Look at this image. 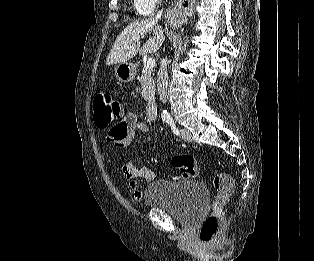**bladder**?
Masks as SVG:
<instances>
[{"mask_svg":"<svg viewBox=\"0 0 314 261\" xmlns=\"http://www.w3.org/2000/svg\"><path fill=\"white\" fill-rule=\"evenodd\" d=\"M147 206L165 211L185 225L193 226L209 204L207 187L196 180H159L145 193Z\"/></svg>","mask_w":314,"mask_h":261,"instance_id":"obj_1","label":"bladder"}]
</instances>
